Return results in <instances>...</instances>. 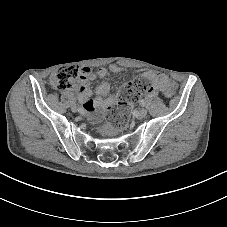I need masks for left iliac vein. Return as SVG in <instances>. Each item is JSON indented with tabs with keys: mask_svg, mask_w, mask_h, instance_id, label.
<instances>
[{
	"mask_svg": "<svg viewBox=\"0 0 227 227\" xmlns=\"http://www.w3.org/2000/svg\"><path fill=\"white\" fill-rule=\"evenodd\" d=\"M146 115H147V110L145 108H142V109L139 110L136 117L141 119V118H144Z\"/></svg>",
	"mask_w": 227,
	"mask_h": 227,
	"instance_id": "4c4485c4",
	"label": "left iliac vein"
}]
</instances>
